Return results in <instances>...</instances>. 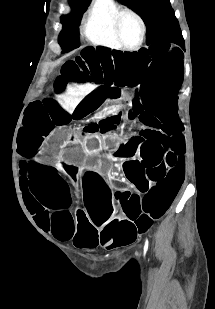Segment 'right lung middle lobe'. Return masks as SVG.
I'll return each mask as SVG.
<instances>
[{
  "instance_id": "dd1d6c3e",
  "label": "right lung middle lobe",
  "mask_w": 215,
  "mask_h": 309,
  "mask_svg": "<svg viewBox=\"0 0 215 309\" xmlns=\"http://www.w3.org/2000/svg\"><path fill=\"white\" fill-rule=\"evenodd\" d=\"M91 1V0H90ZM73 7V13L65 16L63 19L64 28L59 36V44L61 45L63 52L71 51L80 46L78 37V26L83 12L88 7L89 3L70 1Z\"/></svg>"
}]
</instances>
